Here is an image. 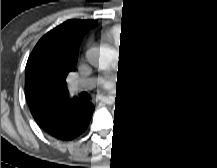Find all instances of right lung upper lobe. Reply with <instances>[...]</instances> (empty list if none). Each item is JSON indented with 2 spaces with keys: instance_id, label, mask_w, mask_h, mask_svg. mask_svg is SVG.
<instances>
[{
  "instance_id": "right-lung-upper-lobe-1",
  "label": "right lung upper lobe",
  "mask_w": 217,
  "mask_h": 168,
  "mask_svg": "<svg viewBox=\"0 0 217 168\" xmlns=\"http://www.w3.org/2000/svg\"><path fill=\"white\" fill-rule=\"evenodd\" d=\"M95 24L92 20H68L34 47L25 68V95L34 118L69 100L65 78L75 69L80 43Z\"/></svg>"
}]
</instances>
